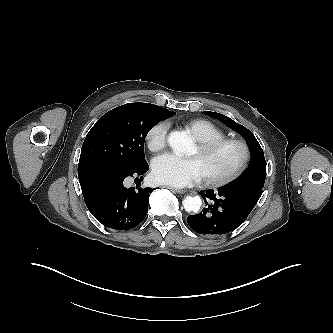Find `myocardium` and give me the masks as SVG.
Instances as JSON below:
<instances>
[{
	"instance_id": "f54148a6",
	"label": "myocardium",
	"mask_w": 333,
	"mask_h": 333,
	"mask_svg": "<svg viewBox=\"0 0 333 333\" xmlns=\"http://www.w3.org/2000/svg\"><path fill=\"white\" fill-rule=\"evenodd\" d=\"M224 147H234L239 152L235 166L226 174L219 177L204 176L206 184L213 187L227 185L238 178L246 169L250 160V150L246 142L238 138L224 137L217 140L199 142L198 151L201 155H208Z\"/></svg>"
}]
</instances>
